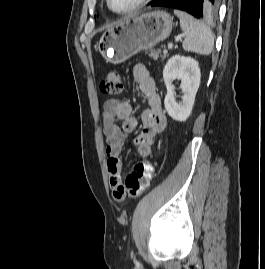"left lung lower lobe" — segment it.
I'll return each mask as SVG.
<instances>
[{"instance_id":"0a47b994","label":"left lung lower lobe","mask_w":265,"mask_h":269,"mask_svg":"<svg viewBox=\"0 0 265 269\" xmlns=\"http://www.w3.org/2000/svg\"><path fill=\"white\" fill-rule=\"evenodd\" d=\"M219 0H155L152 6L179 9L196 18L213 19L218 12Z\"/></svg>"}]
</instances>
